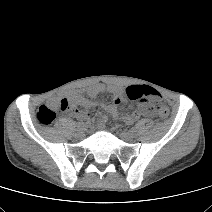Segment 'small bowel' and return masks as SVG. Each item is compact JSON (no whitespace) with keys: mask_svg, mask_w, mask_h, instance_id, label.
I'll list each match as a JSON object with an SVG mask.
<instances>
[{"mask_svg":"<svg viewBox=\"0 0 212 212\" xmlns=\"http://www.w3.org/2000/svg\"><path fill=\"white\" fill-rule=\"evenodd\" d=\"M105 92L112 94L113 100L110 103L102 104V108L113 117L121 119L125 123H132L141 116H150L153 112L148 104L141 102L139 103L138 108L132 111L129 115L120 117L118 108L126 96V91L117 86H106L103 83H97L88 87L85 90V94L72 93L69 95L67 101L70 114L74 118L87 122L89 120L88 110L97 104L96 98ZM79 107H83V109H80ZM104 122H106L105 117L102 119V124Z\"/></svg>","mask_w":212,"mask_h":212,"instance_id":"obj_1","label":"small bowel"}]
</instances>
